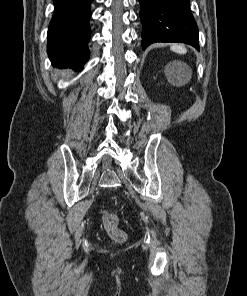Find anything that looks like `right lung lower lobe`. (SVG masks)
<instances>
[{"label":"right lung lower lobe","instance_id":"98d812e1","mask_svg":"<svg viewBox=\"0 0 247 296\" xmlns=\"http://www.w3.org/2000/svg\"><path fill=\"white\" fill-rule=\"evenodd\" d=\"M92 1L53 0L55 10L48 29L47 52L54 65L80 70L88 61Z\"/></svg>","mask_w":247,"mask_h":296}]
</instances>
